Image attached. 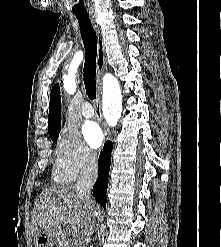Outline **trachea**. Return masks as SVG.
I'll return each mask as SVG.
<instances>
[{"mask_svg":"<svg viewBox=\"0 0 221 247\" xmlns=\"http://www.w3.org/2000/svg\"><path fill=\"white\" fill-rule=\"evenodd\" d=\"M78 19L85 48L83 80L89 99L96 98V57L97 39L91 20L86 14H75Z\"/></svg>","mask_w":221,"mask_h":247,"instance_id":"1","label":"trachea"}]
</instances>
